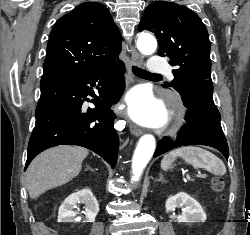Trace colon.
<instances>
[{"label":"colon","instance_id":"obj_1","mask_svg":"<svg viewBox=\"0 0 250 235\" xmlns=\"http://www.w3.org/2000/svg\"><path fill=\"white\" fill-rule=\"evenodd\" d=\"M223 185L224 183L221 178L216 177L212 180V187L215 191H220L223 188Z\"/></svg>","mask_w":250,"mask_h":235}]
</instances>
